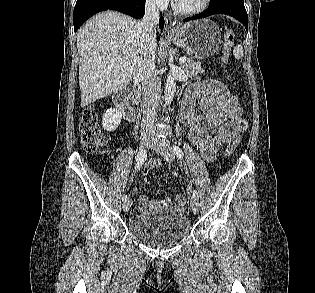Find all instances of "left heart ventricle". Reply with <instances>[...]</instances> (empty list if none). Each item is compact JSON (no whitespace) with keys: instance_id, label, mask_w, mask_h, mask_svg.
I'll return each instance as SVG.
<instances>
[{"instance_id":"b2bd125f","label":"left heart ventricle","mask_w":315,"mask_h":293,"mask_svg":"<svg viewBox=\"0 0 315 293\" xmlns=\"http://www.w3.org/2000/svg\"><path fill=\"white\" fill-rule=\"evenodd\" d=\"M176 3L183 9H195L199 7L203 0H175Z\"/></svg>"}]
</instances>
